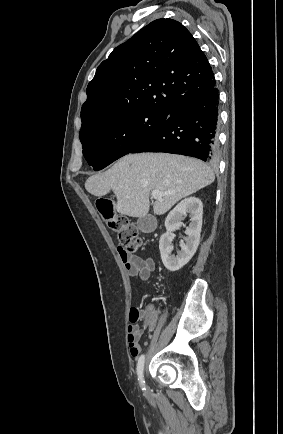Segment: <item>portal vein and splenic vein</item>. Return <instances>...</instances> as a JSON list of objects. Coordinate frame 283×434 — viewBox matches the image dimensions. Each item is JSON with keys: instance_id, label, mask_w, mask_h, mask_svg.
I'll use <instances>...</instances> for the list:
<instances>
[{"instance_id": "1", "label": "portal vein and splenic vein", "mask_w": 283, "mask_h": 434, "mask_svg": "<svg viewBox=\"0 0 283 434\" xmlns=\"http://www.w3.org/2000/svg\"><path fill=\"white\" fill-rule=\"evenodd\" d=\"M163 195H164V194H163L162 192L158 191V190H155V191H152V192H151V197H152L153 199H161V197H162Z\"/></svg>"}]
</instances>
